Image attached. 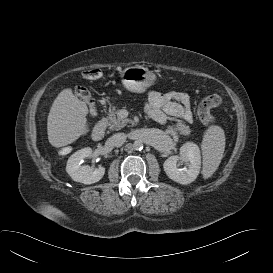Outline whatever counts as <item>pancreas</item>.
<instances>
[{"instance_id":"pancreas-1","label":"pancreas","mask_w":273,"mask_h":273,"mask_svg":"<svg viewBox=\"0 0 273 273\" xmlns=\"http://www.w3.org/2000/svg\"><path fill=\"white\" fill-rule=\"evenodd\" d=\"M131 120L128 118H121L118 115V110H112L109 112L107 116V124L111 130L118 131L121 128L125 127ZM179 132L181 135H190L191 129L189 126L185 125L182 122H178L176 126H169L167 128V133L175 136L176 133Z\"/></svg>"}]
</instances>
